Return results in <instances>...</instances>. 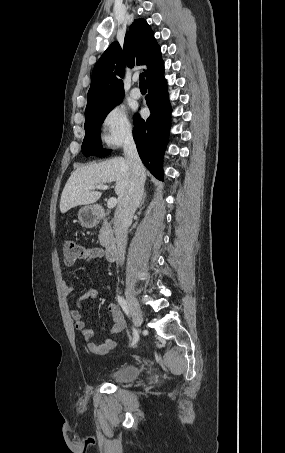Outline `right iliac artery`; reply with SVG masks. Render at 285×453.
<instances>
[{
    "label": "right iliac artery",
    "mask_w": 285,
    "mask_h": 453,
    "mask_svg": "<svg viewBox=\"0 0 285 453\" xmlns=\"http://www.w3.org/2000/svg\"><path fill=\"white\" fill-rule=\"evenodd\" d=\"M117 301L120 304V306L122 307L125 314L127 316H130V310H129L126 300L121 296H117ZM138 340H139L138 332L133 328V341L131 343V346L135 345Z\"/></svg>",
    "instance_id": "82829eb1"
}]
</instances>
